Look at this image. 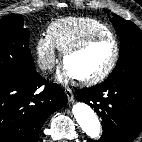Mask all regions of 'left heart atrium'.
Here are the masks:
<instances>
[{
	"label": "left heart atrium",
	"instance_id": "left-heart-atrium-1",
	"mask_svg": "<svg viewBox=\"0 0 142 142\" xmlns=\"http://www.w3.org/2000/svg\"><path fill=\"white\" fill-rule=\"evenodd\" d=\"M59 80L65 81L69 78H74V75L64 66L63 71L58 75Z\"/></svg>",
	"mask_w": 142,
	"mask_h": 142
}]
</instances>
